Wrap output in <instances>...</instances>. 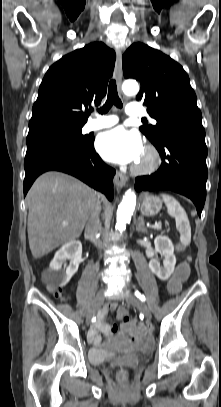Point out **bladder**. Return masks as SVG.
Wrapping results in <instances>:
<instances>
[{
    "label": "bladder",
    "mask_w": 221,
    "mask_h": 407,
    "mask_svg": "<svg viewBox=\"0 0 221 407\" xmlns=\"http://www.w3.org/2000/svg\"><path fill=\"white\" fill-rule=\"evenodd\" d=\"M115 357V353L107 346L94 347L89 351V358L93 364H101Z\"/></svg>",
    "instance_id": "obj_1"
}]
</instances>
